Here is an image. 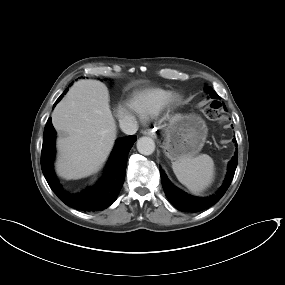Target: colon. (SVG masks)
Segmentation results:
<instances>
[{
    "label": "colon",
    "mask_w": 285,
    "mask_h": 285,
    "mask_svg": "<svg viewBox=\"0 0 285 285\" xmlns=\"http://www.w3.org/2000/svg\"><path fill=\"white\" fill-rule=\"evenodd\" d=\"M204 113L211 120L219 122L222 120V115L220 114L217 104H207L204 107Z\"/></svg>",
    "instance_id": "1"
}]
</instances>
